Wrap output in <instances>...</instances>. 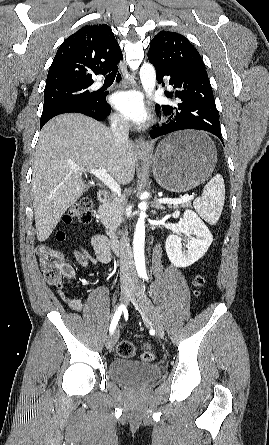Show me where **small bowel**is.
Listing matches in <instances>:
<instances>
[{"label": "small bowel", "instance_id": "small-bowel-1", "mask_svg": "<svg viewBox=\"0 0 269 445\" xmlns=\"http://www.w3.org/2000/svg\"><path fill=\"white\" fill-rule=\"evenodd\" d=\"M91 244L94 249V255H91L83 247H78L73 253L75 260L85 269L93 264H106L111 259V252L103 235H95L91 240ZM66 273L68 278H72L74 275L72 268L69 266L66 267ZM68 304L74 311L81 312L83 309L82 302L79 299H70Z\"/></svg>", "mask_w": 269, "mask_h": 445}]
</instances>
